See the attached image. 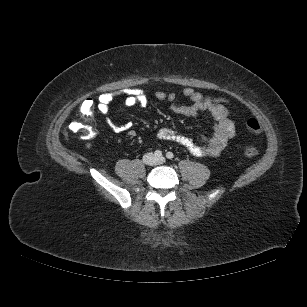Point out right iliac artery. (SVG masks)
<instances>
[{
  "label": "right iliac artery",
  "mask_w": 307,
  "mask_h": 307,
  "mask_svg": "<svg viewBox=\"0 0 307 307\" xmlns=\"http://www.w3.org/2000/svg\"><path fill=\"white\" fill-rule=\"evenodd\" d=\"M154 156H155V158H161L162 157V152L160 151V150H156L155 152H154Z\"/></svg>",
  "instance_id": "82829eb1"
}]
</instances>
